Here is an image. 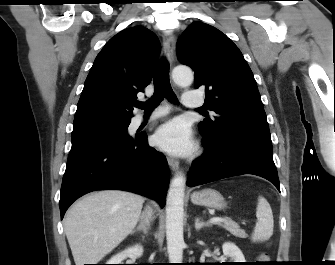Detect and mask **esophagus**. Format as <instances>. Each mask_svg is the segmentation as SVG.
<instances>
[{"label":"esophagus","mask_w":335,"mask_h":265,"mask_svg":"<svg viewBox=\"0 0 335 265\" xmlns=\"http://www.w3.org/2000/svg\"><path fill=\"white\" fill-rule=\"evenodd\" d=\"M175 37L172 33H164L163 34V49L164 54L169 62L174 60V51H175ZM168 164L173 171H176L179 167V161L168 157Z\"/></svg>","instance_id":"34e87169"}]
</instances>
